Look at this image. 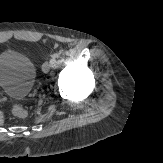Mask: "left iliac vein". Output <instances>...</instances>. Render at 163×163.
<instances>
[{
	"label": "left iliac vein",
	"mask_w": 163,
	"mask_h": 163,
	"mask_svg": "<svg viewBox=\"0 0 163 163\" xmlns=\"http://www.w3.org/2000/svg\"><path fill=\"white\" fill-rule=\"evenodd\" d=\"M51 66H52V63H51V60L50 61H46L43 66H42V71L44 73H48L51 69Z\"/></svg>",
	"instance_id": "obj_1"
}]
</instances>
